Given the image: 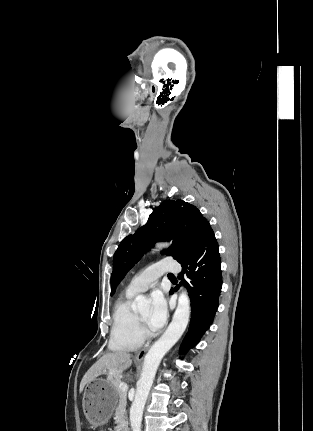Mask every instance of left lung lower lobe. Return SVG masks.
Segmentation results:
<instances>
[{"mask_svg": "<svg viewBox=\"0 0 313 431\" xmlns=\"http://www.w3.org/2000/svg\"><path fill=\"white\" fill-rule=\"evenodd\" d=\"M183 274L188 281H183L191 299V322L189 330L181 344V352L196 346L213 322L219 306L222 287V275L218 243L210 225L203 232L195 250L180 262ZM173 293V289L170 294Z\"/></svg>", "mask_w": 313, "mask_h": 431, "instance_id": "obj_1", "label": "left lung lower lobe"}]
</instances>
